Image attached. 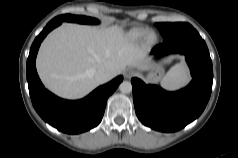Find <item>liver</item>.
Returning a JSON list of instances; mask_svg holds the SVG:
<instances>
[{"mask_svg": "<svg viewBox=\"0 0 238 158\" xmlns=\"http://www.w3.org/2000/svg\"><path fill=\"white\" fill-rule=\"evenodd\" d=\"M147 52L132 43L118 25L98 28L67 23L46 37L36 67L47 88L75 99L99 85L95 70L108 69L112 79L126 66L144 69L149 61Z\"/></svg>", "mask_w": 238, "mask_h": 158, "instance_id": "liver-1", "label": "liver"}]
</instances>
